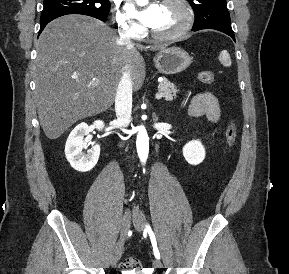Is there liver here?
<instances>
[{"label":"liver","mask_w":289,"mask_h":274,"mask_svg":"<svg viewBox=\"0 0 289 274\" xmlns=\"http://www.w3.org/2000/svg\"><path fill=\"white\" fill-rule=\"evenodd\" d=\"M143 49L163 46L125 45L106 24L85 15L49 23L34 62L37 112L46 137L57 139L78 120L110 108L124 70L139 90L145 79Z\"/></svg>","instance_id":"1"}]
</instances>
